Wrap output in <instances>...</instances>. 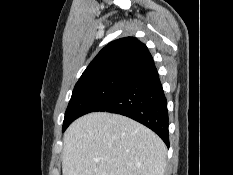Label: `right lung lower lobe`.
I'll return each instance as SVG.
<instances>
[{"mask_svg":"<svg viewBox=\"0 0 233 175\" xmlns=\"http://www.w3.org/2000/svg\"><path fill=\"white\" fill-rule=\"evenodd\" d=\"M95 111L132 118L153 130L169 146L167 100L155 67L133 78Z\"/></svg>","mask_w":233,"mask_h":175,"instance_id":"98d812e1","label":"right lung lower lobe"}]
</instances>
